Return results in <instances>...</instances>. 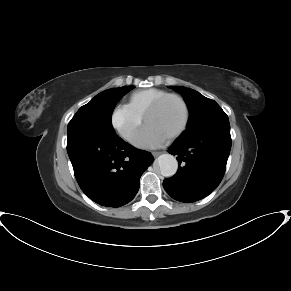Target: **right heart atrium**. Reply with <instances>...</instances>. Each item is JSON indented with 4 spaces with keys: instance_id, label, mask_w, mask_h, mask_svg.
I'll use <instances>...</instances> for the list:
<instances>
[{
    "instance_id": "right-heart-atrium-1",
    "label": "right heart atrium",
    "mask_w": 291,
    "mask_h": 291,
    "mask_svg": "<svg viewBox=\"0 0 291 291\" xmlns=\"http://www.w3.org/2000/svg\"><path fill=\"white\" fill-rule=\"evenodd\" d=\"M143 117L135 112L129 104H118L111 114V124L118 134L127 141L133 137L142 123Z\"/></svg>"
}]
</instances>
